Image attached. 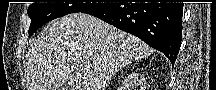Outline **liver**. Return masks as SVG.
I'll list each match as a JSON object with an SVG mask.
<instances>
[{
	"mask_svg": "<svg viewBox=\"0 0 216 90\" xmlns=\"http://www.w3.org/2000/svg\"><path fill=\"white\" fill-rule=\"evenodd\" d=\"M150 48L89 14H68L47 24L28 50V90H106L130 62Z\"/></svg>",
	"mask_w": 216,
	"mask_h": 90,
	"instance_id": "6515ba94",
	"label": "liver"
}]
</instances>
